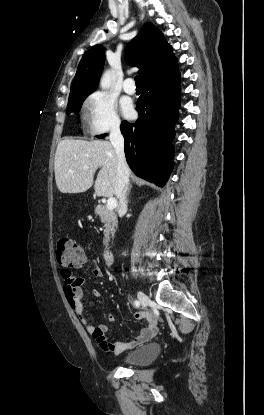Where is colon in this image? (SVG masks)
I'll return each mask as SVG.
<instances>
[{"mask_svg": "<svg viewBox=\"0 0 264 415\" xmlns=\"http://www.w3.org/2000/svg\"><path fill=\"white\" fill-rule=\"evenodd\" d=\"M57 261L66 270L82 265L86 262V256L80 245L68 237L58 241Z\"/></svg>", "mask_w": 264, "mask_h": 415, "instance_id": "1", "label": "colon"}]
</instances>
